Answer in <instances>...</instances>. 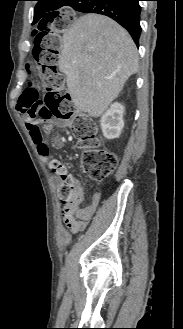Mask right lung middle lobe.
<instances>
[{"label": "right lung middle lobe", "mask_w": 183, "mask_h": 329, "mask_svg": "<svg viewBox=\"0 0 183 329\" xmlns=\"http://www.w3.org/2000/svg\"><path fill=\"white\" fill-rule=\"evenodd\" d=\"M35 14V16H38L40 13L39 12H37V13H34Z\"/></svg>", "instance_id": "1"}]
</instances>
